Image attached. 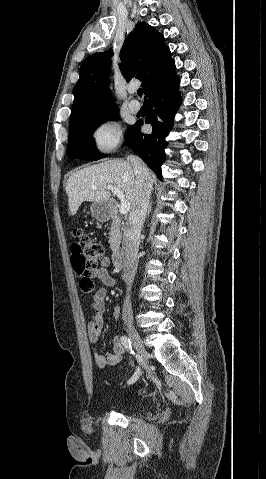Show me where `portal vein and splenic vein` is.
Here are the masks:
<instances>
[{
  "label": "portal vein and splenic vein",
  "instance_id": "18ae733b",
  "mask_svg": "<svg viewBox=\"0 0 266 479\" xmlns=\"http://www.w3.org/2000/svg\"><path fill=\"white\" fill-rule=\"evenodd\" d=\"M93 189L96 190L97 187H93ZM107 189L110 190L114 195H116L120 199V202H121L120 208H119L120 214L128 213L130 209V203L125 199L123 193L118 188L112 185H108Z\"/></svg>",
  "mask_w": 266,
  "mask_h": 479
}]
</instances>
